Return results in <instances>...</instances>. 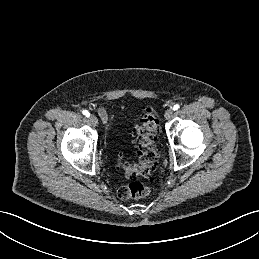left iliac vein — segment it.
<instances>
[{
    "mask_svg": "<svg viewBox=\"0 0 259 259\" xmlns=\"http://www.w3.org/2000/svg\"><path fill=\"white\" fill-rule=\"evenodd\" d=\"M173 110L172 109H167L165 114H164V117L166 120H170L173 116Z\"/></svg>",
    "mask_w": 259,
    "mask_h": 259,
    "instance_id": "left-iliac-vein-1",
    "label": "left iliac vein"
}]
</instances>
